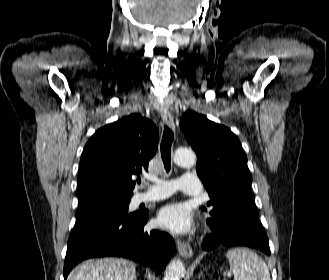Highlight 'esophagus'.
I'll return each instance as SVG.
<instances>
[{"instance_id":"1","label":"esophagus","mask_w":329,"mask_h":280,"mask_svg":"<svg viewBox=\"0 0 329 280\" xmlns=\"http://www.w3.org/2000/svg\"><path fill=\"white\" fill-rule=\"evenodd\" d=\"M162 119H163V122L167 126H169L173 130L175 129L174 119H173V116L171 115V113H169L167 111H163ZM176 244H177L178 252L182 257L189 258L193 255L192 248L188 243L181 241V240H177Z\"/></svg>"}]
</instances>
